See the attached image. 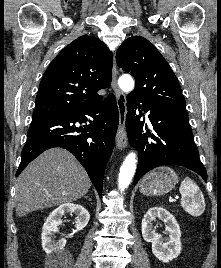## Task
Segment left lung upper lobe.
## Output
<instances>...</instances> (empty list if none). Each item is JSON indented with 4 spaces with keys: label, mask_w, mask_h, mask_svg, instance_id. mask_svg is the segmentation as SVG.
Instances as JSON below:
<instances>
[{
    "label": "left lung upper lobe",
    "mask_w": 221,
    "mask_h": 268,
    "mask_svg": "<svg viewBox=\"0 0 221 268\" xmlns=\"http://www.w3.org/2000/svg\"><path fill=\"white\" fill-rule=\"evenodd\" d=\"M116 62L135 78V89L129 95L153 103L186 107L177 77L147 39L141 36L126 39L116 53Z\"/></svg>",
    "instance_id": "1"
}]
</instances>
